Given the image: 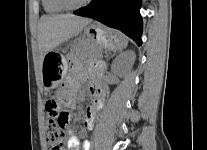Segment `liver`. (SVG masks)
<instances>
[{
    "mask_svg": "<svg viewBox=\"0 0 207 150\" xmlns=\"http://www.w3.org/2000/svg\"><path fill=\"white\" fill-rule=\"evenodd\" d=\"M91 19L74 15H44L38 24V47L42 58L61 43L79 35Z\"/></svg>",
    "mask_w": 207,
    "mask_h": 150,
    "instance_id": "liver-1",
    "label": "liver"
}]
</instances>
